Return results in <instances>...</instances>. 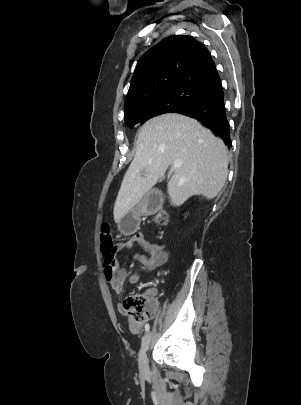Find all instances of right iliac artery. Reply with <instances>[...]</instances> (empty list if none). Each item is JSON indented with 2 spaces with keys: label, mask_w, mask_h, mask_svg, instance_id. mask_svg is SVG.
Segmentation results:
<instances>
[{
  "label": "right iliac artery",
  "mask_w": 301,
  "mask_h": 405,
  "mask_svg": "<svg viewBox=\"0 0 301 405\" xmlns=\"http://www.w3.org/2000/svg\"><path fill=\"white\" fill-rule=\"evenodd\" d=\"M149 329H150V325H149V324H146V325H145V331L148 332Z\"/></svg>",
  "instance_id": "obj_1"
}]
</instances>
